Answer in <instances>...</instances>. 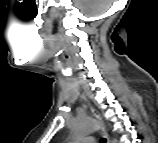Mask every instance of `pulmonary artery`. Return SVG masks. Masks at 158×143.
<instances>
[{"mask_svg": "<svg viewBox=\"0 0 158 143\" xmlns=\"http://www.w3.org/2000/svg\"><path fill=\"white\" fill-rule=\"evenodd\" d=\"M86 140H87L88 142H93V141H94V139H93L92 137H87Z\"/></svg>", "mask_w": 158, "mask_h": 143, "instance_id": "e3ab8cb5", "label": "pulmonary artery"}]
</instances>
